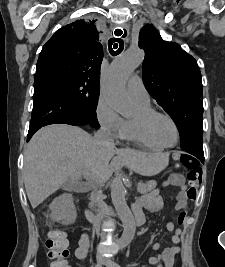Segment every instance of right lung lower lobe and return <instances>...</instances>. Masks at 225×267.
Returning a JSON list of instances; mask_svg holds the SVG:
<instances>
[{
	"mask_svg": "<svg viewBox=\"0 0 225 267\" xmlns=\"http://www.w3.org/2000/svg\"><path fill=\"white\" fill-rule=\"evenodd\" d=\"M56 123L92 126L60 85L48 76L37 75L34 77L33 110L27 141L42 126Z\"/></svg>",
	"mask_w": 225,
	"mask_h": 267,
	"instance_id": "1",
	"label": "right lung lower lobe"
}]
</instances>
